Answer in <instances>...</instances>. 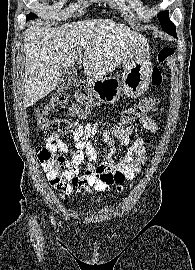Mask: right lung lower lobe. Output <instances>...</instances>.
<instances>
[{"label": "right lung lower lobe", "mask_w": 195, "mask_h": 270, "mask_svg": "<svg viewBox=\"0 0 195 270\" xmlns=\"http://www.w3.org/2000/svg\"><path fill=\"white\" fill-rule=\"evenodd\" d=\"M37 16L34 14H29L26 16V21L36 18Z\"/></svg>", "instance_id": "obj_1"}]
</instances>
